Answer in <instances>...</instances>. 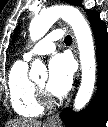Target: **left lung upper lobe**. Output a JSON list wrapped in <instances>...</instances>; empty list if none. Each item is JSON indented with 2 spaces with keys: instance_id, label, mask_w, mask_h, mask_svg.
Returning a JSON list of instances; mask_svg holds the SVG:
<instances>
[{
  "instance_id": "1",
  "label": "left lung upper lobe",
  "mask_w": 108,
  "mask_h": 127,
  "mask_svg": "<svg viewBox=\"0 0 108 127\" xmlns=\"http://www.w3.org/2000/svg\"><path fill=\"white\" fill-rule=\"evenodd\" d=\"M65 2L69 3V4H74V5H77L79 6L80 5V1L79 0H65ZM15 36H16V33L13 37V39L15 40Z\"/></svg>"
}]
</instances>
